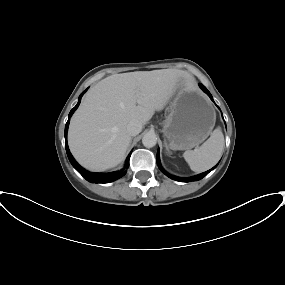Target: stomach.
Wrapping results in <instances>:
<instances>
[{
  "instance_id": "stomach-1",
  "label": "stomach",
  "mask_w": 285,
  "mask_h": 285,
  "mask_svg": "<svg viewBox=\"0 0 285 285\" xmlns=\"http://www.w3.org/2000/svg\"><path fill=\"white\" fill-rule=\"evenodd\" d=\"M216 113L208 98L199 91L180 89L163 124V133L172 150H189L212 132Z\"/></svg>"
}]
</instances>
